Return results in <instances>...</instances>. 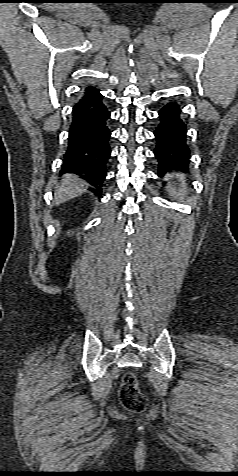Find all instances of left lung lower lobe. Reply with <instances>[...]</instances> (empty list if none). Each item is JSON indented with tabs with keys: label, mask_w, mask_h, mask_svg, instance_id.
Masks as SVG:
<instances>
[{
	"label": "left lung lower lobe",
	"mask_w": 238,
	"mask_h": 476,
	"mask_svg": "<svg viewBox=\"0 0 238 476\" xmlns=\"http://www.w3.org/2000/svg\"><path fill=\"white\" fill-rule=\"evenodd\" d=\"M180 106L168 102L159 111L157 128L154 131L156 147L154 155L159 162L158 175L173 171L187 172L190 150L186 142L187 126L180 117Z\"/></svg>",
	"instance_id": "obj_1"
}]
</instances>
